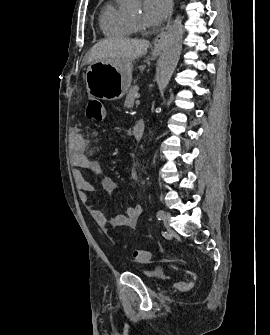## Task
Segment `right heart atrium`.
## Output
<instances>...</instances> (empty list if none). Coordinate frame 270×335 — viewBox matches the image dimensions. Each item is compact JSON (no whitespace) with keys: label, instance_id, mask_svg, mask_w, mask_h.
<instances>
[{"label":"right heart atrium","instance_id":"obj_1","mask_svg":"<svg viewBox=\"0 0 270 335\" xmlns=\"http://www.w3.org/2000/svg\"><path fill=\"white\" fill-rule=\"evenodd\" d=\"M135 31L138 33V32H139V29H138V28H135Z\"/></svg>","mask_w":270,"mask_h":335}]
</instances>
